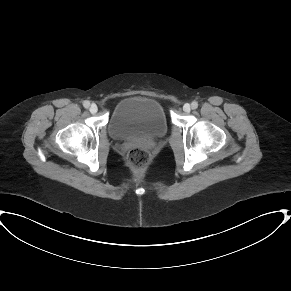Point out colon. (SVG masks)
Masks as SVG:
<instances>
[{
	"mask_svg": "<svg viewBox=\"0 0 291 291\" xmlns=\"http://www.w3.org/2000/svg\"><path fill=\"white\" fill-rule=\"evenodd\" d=\"M150 158V151L145 147L138 146L128 152L127 162L135 175L142 177L147 171Z\"/></svg>",
	"mask_w": 291,
	"mask_h": 291,
	"instance_id": "obj_1",
	"label": "colon"
}]
</instances>
